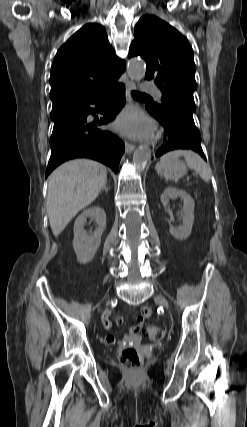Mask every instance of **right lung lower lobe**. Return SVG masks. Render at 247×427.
Returning a JSON list of instances; mask_svg holds the SVG:
<instances>
[{
	"label": "right lung lower lobe",
	"mask_w": 247,
	"mask_h": 427,
	"mask_svg": "<svg viewBox=\"0 0 247 427\" xmlns=\"http://www.w3.org/2000/svg\"><path fill=\"white\" fill-rule=\"evenodd\" d=\"M95 104V108L90 105ZM125 104V86L117 83L104 94L86 102L59 105L52 108L54 122L50 138L51 156L47 177L58 165L75 158L97 160L117 171L124 143L110 131L98 127L115 119ZM100 112L103 118L91 121L89 114Z\"/></svg>",
	"instance_id": "obj_1"
}]
</instances>
